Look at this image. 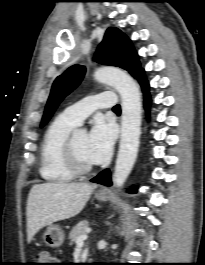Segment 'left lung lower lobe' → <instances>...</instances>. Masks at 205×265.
<instances>
[{
  "instance_id": "1",
  "label": "left lung lower lobe",
  "mask_w": 205,
  "mask_h": 265,
  "mask_svg": "<svg viewBox=\"0 0 205 265\" xmlns=\"http://www.w3.org/2000/svg\"><path fill=\"white\" fill-rule=\"evenodd\" d=\"M138 82L140 83L143 93H144V104H145V109L147 111V114H149V105L151 102V98L148 92L149 84L145 78L144 70L141 71V73L137 77ZM91 182L102 184L105 186H111L112 182L110 179V171L109 169H106L102 171L99 175L91 179ZM135 191L134 188L130 190V193H133Z\"/></svg>"
}]
</instances>
